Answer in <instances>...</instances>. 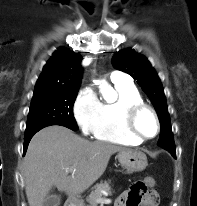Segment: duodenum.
<instances>
[{
    "label": "duodenum",
    "mask_w": 197,
    "mask_h": 206,
    "mask_svg": "<svg viewBox=\"0 0 197 206\" xmlns=\"http://www.w3.org/2000/svg\"><path fill=\"white\" fill-rule=\"evenodd\" d=\"M68 206H75V199L72 198L71 201L68 203Z\"/></svg>",
    "instance_id": "duodenum-1"
}]
</instances>
